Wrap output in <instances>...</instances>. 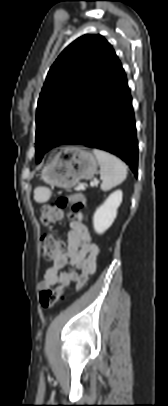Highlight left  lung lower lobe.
Returning <instances> with one entry per match:
<instances>
[{
	"label": "left lung lower lobe",
	"instance_id": "0a47b994",
	"mask_svg": "<svg viewBox=\"0 0 168 406\" xmlns=\"http://www.w3.org/2000/svg\"><path fill=\"white\" fill-rule=\"evenodd\" d=\"M64 144L108 151L131 165V171L137 175L135 118L122 65L93 106L82 128Z\"/></svg>",
	"mask_w": 168,
	"mask_h": 406
}]
</instances>
